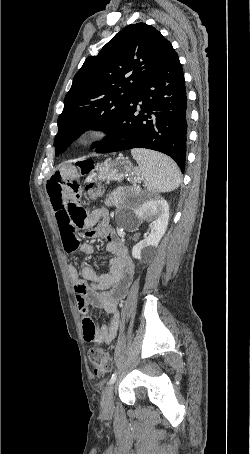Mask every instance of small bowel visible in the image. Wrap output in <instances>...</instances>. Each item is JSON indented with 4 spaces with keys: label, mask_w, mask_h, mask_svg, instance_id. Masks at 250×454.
I'll return each instance as SVG.
<instances>
[{
    "label": "small bowel",
    "mask_w": 250,
    "mask_h": 454,
    "mask_svg": "<svg viewBox=\"0 0 250 454\" xmlns=\"http://www.w3.org/2000/svg\"><path fill=\"white\" fill-rule=\"evenodd\" d=\"M47 191L67 252L78 249L85 254L93 252L91 244H81L77 229H84L87 238L107 240L106 251L111 256L108 273L97 275L91 267L78 269L75 265L69 266V273L82 317L84 339L98 345H109L117 334L119 305L126 296L134 274L128 251L111 228L105 210L97 209L88 213L80 204L82 187L77 179L63 174L54 175L47 182ZM90 306L99 307L108 313L109 322L96 326L89 316Z\"/></svg>",
    "instance_id": "small-bowel-1"
}]
</instances>
